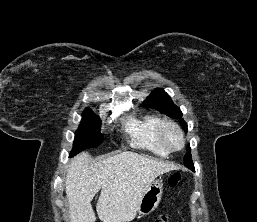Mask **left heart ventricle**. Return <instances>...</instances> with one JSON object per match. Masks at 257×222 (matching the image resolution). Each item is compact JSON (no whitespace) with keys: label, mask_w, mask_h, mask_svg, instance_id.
<instances>
[{"label":"left heart ventricle","mask_w":257,"mask_h":222,"mask_svg":"<svg viewBox=\"0 0 257 222\" xmlns=\"http://www.w3.org/2000/svg\"><path fill=\"white\" fill-rule=\"evenodd\" d=\"M165 138L166 141L168 142V144L172 147V148H178L181 145V139L178 135V133L172 129V128H167L165 130Z\"/></svg>","instance_id":"b2bd125f"}]
</instances>
